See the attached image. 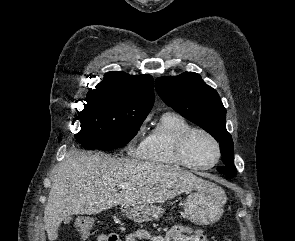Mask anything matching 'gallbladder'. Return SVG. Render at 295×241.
<instances>
[{"label": "gallbladder", "instance_id": "obj_1", "mask_svg": "<svg viewBox=\"0 0 295 241\" xmlns=\"http://www.w3.org/2000/svg\"><path fill=\"white\" fill-rule=\"evenodd\" d=\"M72 218L71 217H67L64 222L65 224H69L71 222Z\"/></svg>", "mask_w": 295, "mask_h": 241}]
</instances>
